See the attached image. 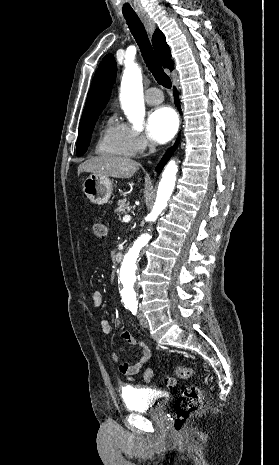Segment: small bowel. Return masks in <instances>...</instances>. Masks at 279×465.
I'll use <instances>...</instances> for the list:
<instances>
[{
  "instance_id": "1",
  "label": "small bowel",
  "mask_w": 279,
  "mask_h": 465,
  "mask_svg": "<svg viewBox=\"0 0 279 465\" xmlns=\"http://www.w3.org/2000/svg\"><path fill=\"white\" fill-rule=\"evenodd\" d=\"M92 301L95 307H99L103 304L104 294L101 290L95 289L92 292ZM101 328L103 333L111 334L113 327L107 320L101 321ZM121 337L131 346L138 345L140 347V355L136 362H120L119 356L116 353L112 354V360L117 364L118 372L132 380L133 377L141 370V368L149 363L153 357L151 348L143 341H140L135 335L128 331H122ZM153 370L147 369L144 373V380L149 382L153 378Z\"/></svg>"
}]
</instances>
